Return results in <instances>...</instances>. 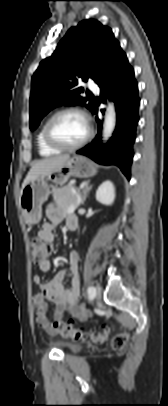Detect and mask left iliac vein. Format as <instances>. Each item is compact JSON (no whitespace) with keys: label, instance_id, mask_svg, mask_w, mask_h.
I'll use <instances>...</instances> for the list:
<instances>
[{"label":"left iliac vein","instance_id":"1","mask_svg":"<svg viewBox=\"0 0 168 406\" xmlns=\"http://www.w3.org/2000/svg\"><path fill=\"white\" fill-rule=\"evenodd\" d=\"M101 297V288L99 286L95 287V298L99 299Z\"/></svg>","mask_w":168,"mask_h":406}]
</instances>
